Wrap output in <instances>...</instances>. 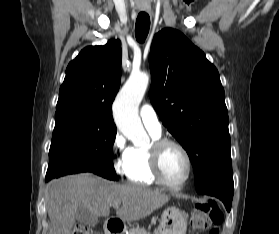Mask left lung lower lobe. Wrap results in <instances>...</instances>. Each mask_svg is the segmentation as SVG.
Segmentation results:
<instances>
[{"label": "left lung lower lobe", "instance_id": "left-lung-lower-lobe-1", "mask_svg": "<svg viewBox=\"0 0 279 234\" xmlns=\"http://www.w3.org/2000/svg\"><path fill=\"white\" fill-rule=\"evenodd\" d=\"M234 186L233 183L230 185L224 184H213L209 187L202 189L200 194L211 195L219 198L225 204L227 211L231 209L232 198H233Z\"/></svg>", "mask_w": 279, "mask_h": 234}]
</instances>
